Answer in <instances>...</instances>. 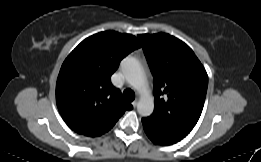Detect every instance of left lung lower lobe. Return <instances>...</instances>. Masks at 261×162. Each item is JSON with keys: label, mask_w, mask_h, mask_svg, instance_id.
<instances>
[{"label": "left lung lower lobe", "mask_w": 261, "mask_h": 162, "mask_svg": "<svg viewBox=\"0 0 261 162\" xmlns=\"http://www.w3.org/2000/svg\"><path fill=\"white\" fill-rule=\"evenodd\" d=\"M143 128L149 139L156 145H172L184 137L169 133L157 127L154 123L147 119H142Z\"/></svg>", "instance_id": "0a47b994"}]
</instances>
